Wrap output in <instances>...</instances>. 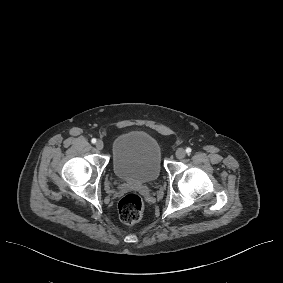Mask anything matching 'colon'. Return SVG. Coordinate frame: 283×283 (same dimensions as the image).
<instances>
[{"instance_id":"colon-1","label":"colon","mask_w":283,"mask_h":283,"mask_svg":"<svg viewBox=\"0 0 283 283\" xmlns=\"http://www.w3.org/2000/svg\"><path fill=\"white\" fill-rule=\"evenodd\" d=\"M118 212L121 221L127 225H134L142 220L144 214V202L135 193L122 197L118 202Z\"/></svg>"}]
</instances>
